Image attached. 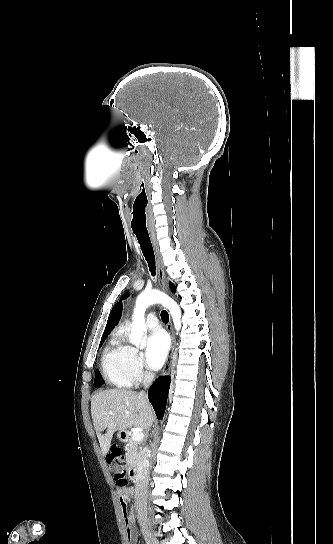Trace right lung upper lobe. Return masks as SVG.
I'll list each match as a JSON object with an SVG mask.
<instances>
[{
  "mask_svg": "<svg viewBox=\"0 0 333 544\" xmlns=\"http://www.w3.org/2000/svg\"><path fill=\"white\" fill-rule=\"evenodd\" d=\"M122 315V303L118 302L111 310L109 314V318L106 324L105 331L103 333L102 338H106L108 334L111 332V330L115 327V325L118 323L120 317Z\"/></svg>",
  "mask_w": 333,
  "mask_h": 544,
  "instance_id": "obj_1",
  "label": "right lung upper lobe"
}]
</instances>
